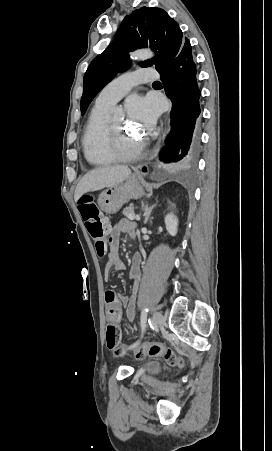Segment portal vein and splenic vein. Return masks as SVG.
<instances>
[{"mask_svg":"<svg viewBox=\"0 0 272 451\" xmlns=\"http://www.w3.org/2000/svg\"><path fill=\"white\" fill-rule=\"evenodd\" d=\"M128 218H129V220H134L135 216H134V214H129ZM138 220H139V218H138Z\"/></svg>","mask_w":272,"mask_h":451,"instance_id":"1","label":"portal vein and splenic vein"}]
</instances>
